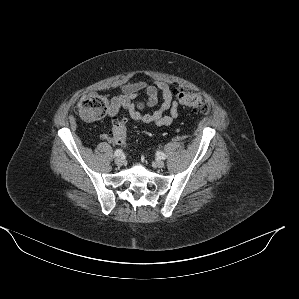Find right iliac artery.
Instances as JSON below:
<instances>
[{"mask_svg":"<svg viewBox=\"0 0 299 299\" xmlns=\"http://www.w3.org/2000/svg\"><path fill=\"white\" fill-rule=\"evenodd\" d=\"M123 154V151L121 149H117L114 153L115 156H121Z\"/></svg>","mask_w":299,"mask_h":299,"instance_id":"obj_1","label":"right iliac artery"}]
</instances>
